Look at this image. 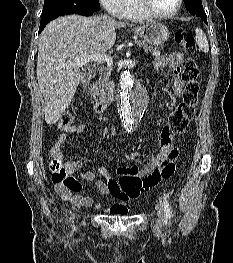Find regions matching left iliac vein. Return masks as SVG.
<instances>
[{"instance_id": "1", "label": "left iliac vein", "mask_w": 233, "mask_h": 263, "mask_svg": "<svg viewBox=\"0 0 233 263\" xmlns=\"http://www.w3.org/2000/svg\"><path fill=\"white\" fill-rule=\"evenodd\" d=\"M156 210H157V227H160L164 218L163 207L160 204H158L156 206Z\"/></svg>"}]
</instances>
